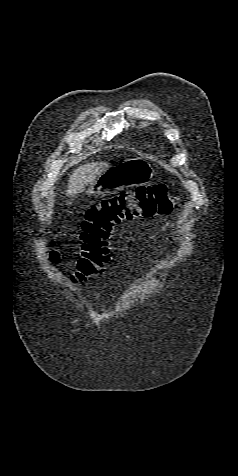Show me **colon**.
Returning <instances> with one entry per match:
<instances>
[{
  "instance_id": "colon-1",
  "label": "colon",
  "mask_w": 238,
  "mask_h": 476,
  "mask_svg": "<svg viewBox=\"0 0 238 476\" xmlns=\"http://www.w3.org/2000/svg\"><path fill=\"white\" fill-rule=\"evenodd\" d=\"M177 201L167 185L157 183L104 198L90 207L81 223V256L72 278L82 281L102 271L110 259V236L116 225L169 214ZM51 258L58 260V252L51 251Z\"/></svg>"
}]
</instances>
